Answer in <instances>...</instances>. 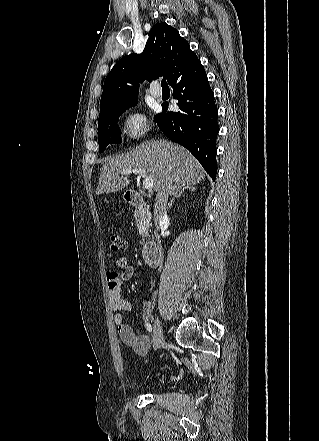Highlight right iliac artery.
I'll return each instance as SVG.
<instances>
[{
	"label": "right iliac artery",
	"mask_w": 319,
	"mask_h": 441,
	"mask_svg": "<svg viewBox=\"0 0 319 441\" xmlns=\"http://www.w3.org/2000/svg\"><path fill=\"white\" fill-rule=\"evenodd\" d=\"M146 329L149 331V332H151L152 331V327H151V324L150 323H146Z\"/></svg>",
	"instance_id": "right-iliac-artery-1"
}]
</instances>
